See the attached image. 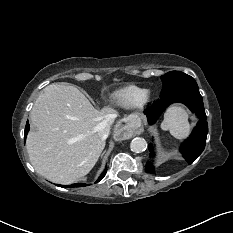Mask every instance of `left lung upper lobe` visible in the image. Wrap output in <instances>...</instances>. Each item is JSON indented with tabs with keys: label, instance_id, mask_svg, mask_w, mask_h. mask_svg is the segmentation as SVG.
Returning a JSON list of instances; mask_svg holds the SVG:
<instances>
[{
	"label": "left lung upper lobe",
	"instance_id": "1",
	"mask_svg": "<svg viewBox=\"0 0 233 233\" xmlns=\"http://www.w3.org/2000/svg\"><path fill=\"white\" fill-rule=\"evenodd\" d=\"M163 82L162 97L185 86H198L194 78L180 71H171L161 76Z\"/></svg>",
	"mask_w": 233,
	"mask_h": 233
}]
</instances>
